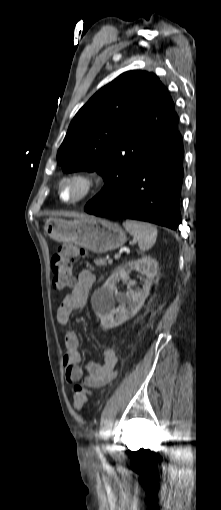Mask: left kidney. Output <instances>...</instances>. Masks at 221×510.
Wrapping results in <instances>:
<instances>
[{
  "mask_svg": "<svg viewBox=\"0 0 221 510\" xmlns=\"http://www.w3.org/2000/svg\"><path fill=\"white\" fill-rule=\"evenodd\" d=\"M157 269V261L150 256L130 261L114 271L104 285L94 292L91 299L92 307L100 318L104 330L117 327L137 314L149 295ZM133 270L139 271L145 277L142 289H131L136 282L130 280L127 292H118L116 283L120 280L128 281V275ZM116 301L119 303L117 308Z\"/></svg>",
  "mask_w": 221,
  "mask_h": 510,
  "instance_id": "5707ae66",
  "label": "left kidney"
}]
</instances>
